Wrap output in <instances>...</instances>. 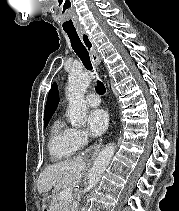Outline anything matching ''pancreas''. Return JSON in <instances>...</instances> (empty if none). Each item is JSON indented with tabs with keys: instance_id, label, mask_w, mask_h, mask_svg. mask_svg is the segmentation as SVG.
<instances>
[{
	"instance_id": "cf45deb5",
	"label": "pancreas",
	"mask_w": 179,
	"mask_h": 211,
	"mask_svg": "<svg viewBox=\"0 0 179 211\" xmlns=\"http://www.w3.org/2000/svg\"><path fill=\"white\" fill-rule=\"evenodd\" d=\"M51 206L57 209L53 211H77L78 203L73 198L62 200L59 193L54 198Z\"/></svg>"
}]
</instances>
